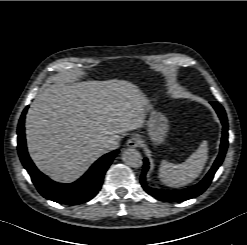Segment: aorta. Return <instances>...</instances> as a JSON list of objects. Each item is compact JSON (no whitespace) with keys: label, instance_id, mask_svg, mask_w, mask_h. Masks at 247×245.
Instances as JSON below:
<instances>
[{"label":"aorta","instance_id":"obj_1","mask_svg":"<svg viewBox=\"0 0 247 245\" xmlns=\"http://www.w3.org/2000/svg\"><path fill=\"white\" fill-rule=\"evenodd\" d=\"M122 161L130 166L137 168L142 164L141 154L135 148H127L121 154Z\"/></svg>","mask_w":247,"mask_h":245}]
</instances>
